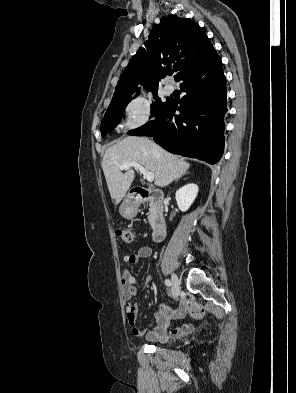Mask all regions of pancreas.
<instances>
[{"label": "pancreas", "instance_id": "1", "mask_svg": "<svg viewBox=\"0 0 296 393\" xmlns=\"http://www.w3.org/2000/svg\"><path fill=\"white\" fill-rule=\"evenodd\" d=\"M152 218H153V211H152V208H151V209H150L149 216H148V221H149V223H152Z\"/></svg>", "mask_w": 296, "mask_h": 393}]
</instances>
